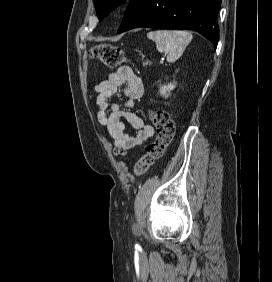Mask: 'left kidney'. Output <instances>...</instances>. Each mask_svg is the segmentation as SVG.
<instances>
[{"instance_id":"5707ae66","label":"left kidney","mask_w":272,"mask_h":282,"mask_svg":"<svg viewBox=\"0 0 272 282\" xmlns=\"http://www.w3.org/2000/svg\"><path fill=\"white\" fill-rule=\"evenodd\" d=\"M174 85L173 84H168L167 86H162L160 88V94L163 95V96H166V92H170L172 89H174Z\"/></svg>"}]
</instances>
